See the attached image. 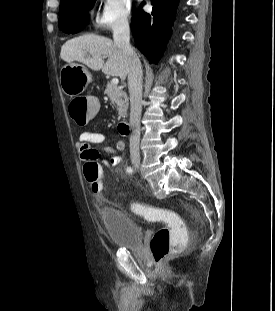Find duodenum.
Returning a JSON list of instances; mask_svg holds the SVG:
<instances>
[{
  "instance_id": "duodenum-1",
  "label": "duodenum",
  "mask_w": 275,
  "mask_h": 311,
  "mask_svg": "<svg viewBox=\"0 0 275 311\" xmlns=\"http://www.w3.org/2000/svg\"><path fill=\"white\" fill-rule=\"evenodd\" d=\"M117 129H118V132L124 136L129 135L131 132V126L126 121H120L118 123Z\"/></svg>"
}]
</instances>
